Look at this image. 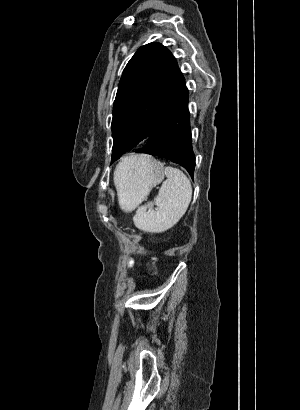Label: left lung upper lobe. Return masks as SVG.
<instances>
[{
	"label": "left lung upper lobe",
	"instance_id": "left-lung-upper-lobe-1",
	"mask_svg": "<svg viewBox=\"0 0 300 410\" xmlns=\"http://www.w3.org/2000/svg\"><path fill=\"white\" fill-rule=\"evenodd\" d=\"M171 52L160 43L140 47L126 65L113 106L111 163L149 137L187 92Z\"/></svg>",
	"mask_w": 300,
	"mask_h": 410
}]
</instances>
